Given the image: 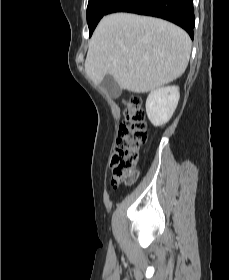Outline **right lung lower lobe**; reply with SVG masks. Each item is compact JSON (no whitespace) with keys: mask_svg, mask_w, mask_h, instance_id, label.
Masks as SVG:
<instances>
[{"mask_svg":"<svg viewBox=\"0 0 229 280\" xmlns=\"http://www.w3.org/2000/svg\"><path fill=\"white\" fill-rule=\"evenodd\" d=\"M131 12L168 20L182 27L193 39V0H115L106 14Z\"/></svg>","mask_w":229,"mask_h":280,"instance_id":"obj_1","label":"right lung lower lobe"}]
</instances>
